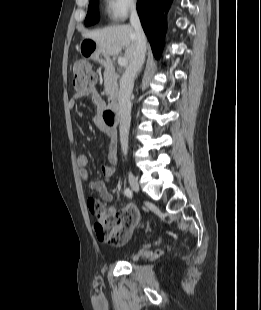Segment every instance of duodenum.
<instances>
[{"label": "duodenum", "instance_id": "obj_1", "mask_svg": "<svg viewBox=\"0 0 261 310\" xmlns=\"http://www.w3.org/2000/svg\"><path fill=\"white\" fill-rule=\"evenodd\" d=\"M105 65L109 70L111 71L114 70V66L111 61L106 60ZM117 121H118V108L116 105V101L114 98H110L103 112L102 122L108 128L113 129L116 126Z\"/></svg>", "mask_w": 261, "mask_h": 310}]
</instances>
